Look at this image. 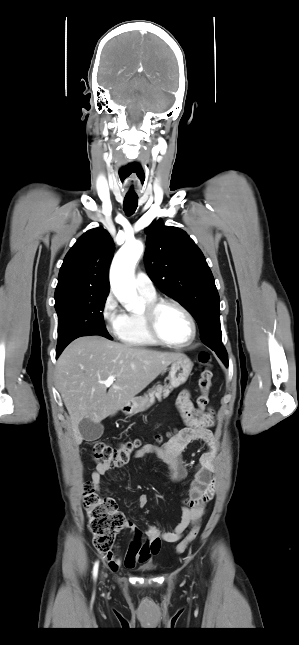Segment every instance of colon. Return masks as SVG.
<instances>
[{
	"mask_svg": "<svg viewBox=\"0 0 299 645\" xmlns=\"http://www.w3.org/2000/svg\"><path fill=\"white\" fill-rule=\"evenodd\" d=\"M198 361L201 366L198 381L201 394L197 398V409L194 411V417L197 419L205 414L213 376L210 354L201 352ZM139 447L140 442L138 440L123 442L118 447H112L103 442H95L92 455L98 463L120 467L128 462L132 453ZM84 507L88 517L89 530L93 536L94 547L99 552L110 553L113 549L116 535L126 527V517L119 510L113 498L99 495L90 483H87L84 489ZM198 533L199 525L196 524L177 545L176 552H184L196 539Z\"/></svg>",
	"mask_w": 299,
	"mask_h": 645,
	"instance_id": "5ec220e1",
	"label": "colon"
}]
</instances>
